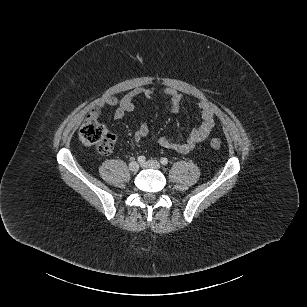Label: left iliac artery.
I'll use <instances>...</instances> for the list:
<instances>
[{
	"label": "left iliac artery",
	"mask_w": 307,
	"mask_h": 307,
	"mask_svg": "<svg viewBox=\"0 0 307 307\" xmlns=\"http://www.w3.org/2000/svg\"><path fill=\"white\" fill-rule=\"evenodd\" d=\"M160 162H161V164H162V165H164V166H165V165H167V164H168V159H167V158H165V157H163V158H161V159H160Z\"/></svg>",
	"instance_id": "left-iliac-artery-1"
}]
</instances>
